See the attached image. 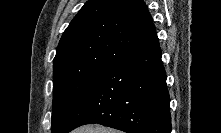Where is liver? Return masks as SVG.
<instances>
[{
  "mask_svg": "<svg viewBox=\"0 0 221 133\" xmlns=\"http://www.w3.org/2000/svg\"><path fill=\"white\" fill-rule=\"evenodd\" d=\"M73 133H117V131L97 125L83 126L74 130Z\"/></svg>",
  "mask_w": 221,
  "mask_h": 133,
  "instance_id": "1",
  "label": "liver"
}]
</instances>
